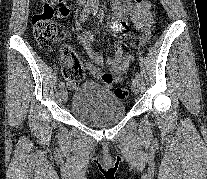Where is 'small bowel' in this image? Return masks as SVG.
<instances>
[{
  "label": "small bowel",
  "mask_w": 207,
  "mask_h": 179,
  "mask_svg": "<svg viewBox=\"0 0 207 179\" xmlns=\"http://www.w3.org/2000/svg\"><path fill=\"white\" fill-rule=\"evenodd\" d=\"M56 4L60 18L69 15L70 9L61 0H56ZM112 7L118 17L114 26L116 28H122L123 23L121 20L129 16L135 28L140 32V42L135 47L139 48L142 46L148 40L150 33V23L152 20L151 4L146 2L134 7L130 0H112ZM79 41L91 59V61H85V65L95 79H101L103 81L104 77L108 76L110 78L109 81H103L108 89H111L114 83H120L122 81V76L129 69L131 63L134 61V57L125 54L121 41L115 44V57L107 59V65L109 67L108 73H104L102 70L104 58L93 50L91 32L88 30L80 32ZM70 87H73V85H70Z\"/></svg>",
  "instance_id": "obj_1"
}]
</instances>
